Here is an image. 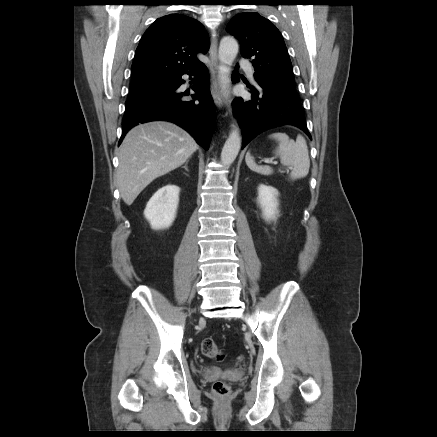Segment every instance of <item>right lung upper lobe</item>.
Listing matches in <instances>:
<instances>
[{"mask_svg": "<svg viewBox=\"0 0 437 437\" xmlns=\"http://www.w3.org/2000/svg\"><path fill=\"white\" fill-rule=\"evenodd\" d=\"M209 46L208 33L197 20L182 14L158 18L136 49L132 81L171 79L200 64L196 54L206 53Z\"/></svg>", "mask_w": 437, "mask_h": 437, "instance_id": "right-lung-upper-lobe-1", "label": "right lung upper lobe"}]
</instances>
